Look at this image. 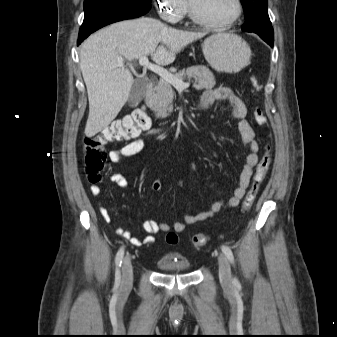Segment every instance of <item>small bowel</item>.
Wrapping results in <instances>:
<instances>
[{"instance_id":"obj_1","label":"small bowel","mask_w":337,"mask_h":337,"mask_svg":"<svg viewBox=\"0 0 337 337\" xmlns=\"http://www.w3.org/2000/svg\"><path fill=\"white\" fill-rule=\"evenodd\" d=\"M216 101H225L228 103L233 117L239 121L238 129L241 134L242 143L249 150L245 164L238 177V186L235 188L232 196L229 199L216 200L207 209L199 213L186 214L183 216V221H174L172 224L159 222L154 219L144 221L142 223V229L145 233H147V235L143 238L133 236L130 231L124 229L121 226L116 227L115 233L124 239L129 240L132 245L142 246L153 244L155 242L153 234L158 232H183L186 228V225L195 224L197 222L211 218L224 208L237 206L246 194L253 170L258 163L257 152L259 148L258 143L255 140V133L249 122L246 120L247 107L243 99L231 88L226 86L205 90L201 96L199 106L201 109L206 110L209 109ZM143 148L144 139L136 138L120 148L111 150L108 154V158L111 163H119L124 158H128L140 153ZM196 166V162L190 163L188 167L190 174L194 172ZM109 180L120 188H126L128 186L127 179L120 173L110 174ZM151 188L155 192L161 191V181L154 180L151 184ZM90 192L92 195L98 196L101 193V188L98 184H92L90 186ZM99 211L106 222H110L112 220L109 211L102 204H100Z\"/></svg>"}]
</instances>
